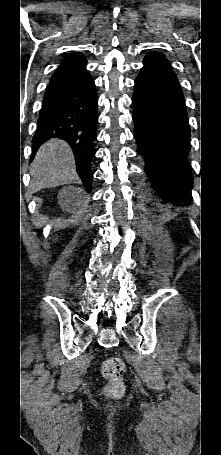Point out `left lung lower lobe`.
Masks as SVG:
<instances>
[{"label": "left lung lower lobe", "instance_id": "0a47b994", "mask_svg": "<svg viewBox=\"0 0 221 455\" xmlns=\"http://www.w3.org/2000/svg\"><path fill=\"white\" fill-rule=\"evenodd\" d=\"M134 87V137L151 184L163 199L189 204L191 132L178 78L165 66L144 64Z\"/></svg>", "mask_w": 221, "mask_h": 455}]
</instances>
